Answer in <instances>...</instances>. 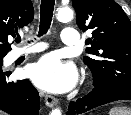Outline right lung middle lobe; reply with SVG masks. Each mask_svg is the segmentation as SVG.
<instances>
[{"label":"right lung middle lobe","instance_id":"right-lung-middle-lobe-1","mask_svg":"<svg viewBox=\"0 0 131 115\" xmlns=\"http://www.w3.org/2000/svg\"><path fill=\"white\" fill-rule=\"evenodd\" d=\"M2 59H3V58H0V70H2V64H3Z\"/></svg>","mask_w":131,"mask_h":115}]
</instances>
